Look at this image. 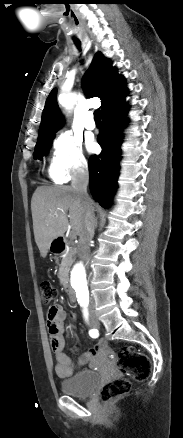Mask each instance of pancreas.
Listing matches in <instances>:
<instances>
[{"label": "pancreas", "mask_w": 183, "mask_h": 438, "mask_svg": "<svg viewBox=\"0 0 183 438\" xmlns=\"http://www.w3.org/2000/svg\"><path fill=\"white\" fill-rule=\"evenodd\" d=\"M75 256V250L70 249L68 252H65V256L62 257L61 265H60V277L61 274L64 272V269L66 267H69L73 261Z\"/></svg>", "instance_id": "obj_1"}]
</instances>
